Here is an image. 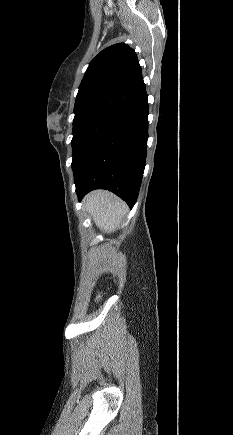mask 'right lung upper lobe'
I'll use <instances>...</instances> for the list:
<instances>
[{
  "mask_svg": "<svg viewBox=\"0 0 233 435\" xmlns=\"http://www.w3.org/2000/svg\"><path fill=\"white\" fill-rule=\"evenodd\" d=\"M137 55L124 43L102 50L89 64L79 86L75 117L110 111L126 114L145 96Z\"/></svg>",
  "mask_w": 233,
  "mask_h": 435,
  "instance_id": "right-lung-upper-lobe-1",
  "label": "right lung upper lobe"
}]
</instances>
